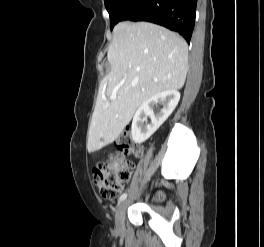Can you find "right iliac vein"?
I'll return each instance as SVG.
<instances>
[{
	"label": "right iliac vein",
	"mask_w": 264,
	"mask_h": 247,
	"mask_svg": "<svg viewBox=\"0 0 264 247\" xmlns=\"http://www.w3.org/2000/svg\"><path fill=\"white\" fill-rule=\"evenodd\" d=\"M128 206V201L124 200L122 201L115 214V224H116V229L118 231H123L124 230V220H125V212Z\"/></svg>",
	"instance_id": "right-iliac-vein-1"
}]
</instances>
